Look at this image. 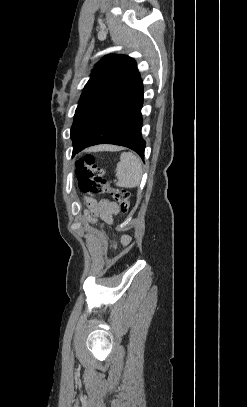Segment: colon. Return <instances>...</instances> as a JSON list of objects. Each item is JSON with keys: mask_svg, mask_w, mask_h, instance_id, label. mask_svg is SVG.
<instances>
[{"mask_svg": "<svg viewBox=\"0 0 247 407\" xmlns=\"http://www.w3.org/2000/svg\"><path fill=\"white\" fill-rule=\"evenodd\" d=\"M78 185L84 193H108L123 214L130 210L129 193L126 190L112 187L104 177L103 170L96 164L95 157L86 154L75 164Z\"/></svg>", "mask_w": 247, "mask_h": 407, "instance_id": "colon-1", "label": "colon"}]
</instances>
